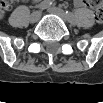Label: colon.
I'll list each match as a JSON object with an SVG mask.
<instances>
[{
    "mask_svg": "<svg viewBox=\"0 0 103 103\" xmlns=\"http://www.w3.org/2000/svg\"><path fill=\"white\" fill-rule=\"evenodd\" d=\"M86 3L88 6L95 9L97 21L102 22L103 21V5L98 1H88ZM10 5H11L10 1H3L1 3V12L4 13Z\"/></svg>",
    "mask_w": 103,
    "mask_h": 103,
    "instance_id": "1",
    "label": "colon"
}]
</instances>
